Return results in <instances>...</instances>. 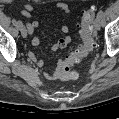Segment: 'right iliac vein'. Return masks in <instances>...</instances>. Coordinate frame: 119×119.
Here are the masks:
<instances>
[{
	"label": "right iliac vein",
	"instance_id": "1",
	"mask_svg": "<svg viewBox=\"0 0 119 119\" xmlns=\"http://www.w3.org/2000/svg\"><path fill=\"white\" fill-rule=\"evenodd\" d=\"M20 31H21L22 37L26 38L27 37V29L25 28L24 25L20 28Z\"/></svg>",
	"mask_w": 119,
	"mask_h": 119
}]
</instances>
